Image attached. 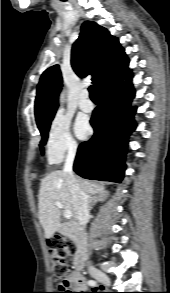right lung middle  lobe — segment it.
<instances>
[{"mask_svg": "<svg viewBox=\"0 0 170 293\" xmlns=\"http://www.w3.org/2000/svg\"><path fill=\"white\" fill-rule=\"evenodd\" d=\"M49 128H50V124L39 129L42 135V140L39 145L42 152H43V146L46 144V141H47Z\"/></svg>", "mask_w": 170, "mask_h": 293, "instance_id": "obj_1", "label": "right lung middle lobe"}]
</instances>
